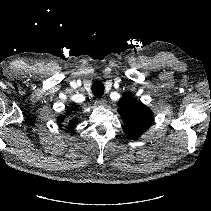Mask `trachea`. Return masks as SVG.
Wrapping results in <instances>:
<instances>
[{"mask_svg": "<svg viewBox=\"0 0 211 211\" xmlns=\"http://www.w3.org/2000/svg\"><path fill=\"white\" fill-rule=\"evenodd\" d=\"M91 89L94 96L101 98L104 94L105 87L101 81H95L92 84Z\"/></svg>", "mask_w": 211, "mask_h": 211, "instance_id": "3493384b", "label": "trachea"}]
</instances>
